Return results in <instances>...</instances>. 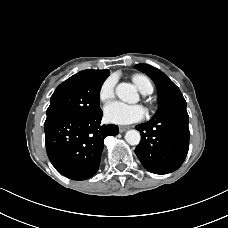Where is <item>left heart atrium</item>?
Masks as SVG:
<instances>
[{
	"mask_svg": "<svg viewBox=\"0 0 228 228\" xmlns=\"http://www.w3.org/2000/svg\"><path fill=\"white\" fill-rule=\"evenodd\" d=\"M145 114L142 106L128 105L120 101L111 102L104 108L105 120L118 125H128L141 121Z\"/></svg>",
	"mask_w": 228,
	"mask_h": 228,
	"instance_id": "1",
	"label": "left heart atrium"
}]
</instances>
